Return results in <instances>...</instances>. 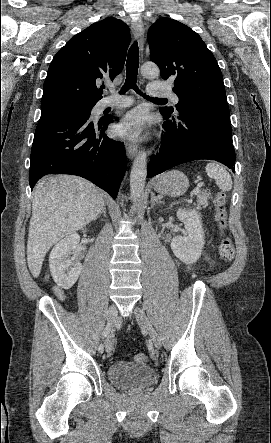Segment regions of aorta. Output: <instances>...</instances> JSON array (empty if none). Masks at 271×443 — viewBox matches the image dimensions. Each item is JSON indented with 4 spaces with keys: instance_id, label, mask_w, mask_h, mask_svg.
<instances>
[{
    "instance_id": "762f6f07",
    "label": "aorta",
    "mask_w": 271,
    "mask_h": 443,
    "mask_svg": "<svg viewBox=\"0 0 271 443\" xmlns=\"http://www.w3.org/2000/svg\"><path fill=\"white\" fill-rule=\"evenodd\" d=\"M141 74L142 76H145V78H157L160 74V70L156 64L146 62V64L141 66ZM146 158L147 154H145V152H139L133 162L130 174V194L132 202H139L138 198H140L142 192H144L147 176Z\"/></svg>"
}]
</instances>
